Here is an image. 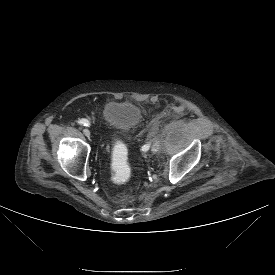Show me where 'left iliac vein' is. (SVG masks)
Masks as SVG:
<instances>
[{"mask_svg": "<svg viewBox=\"0 0 275 275\" xmlns=\"http://www.w3.org/2000/svg\"><path fill=\"white\" fill-rule=\"evenodd\" d=\"M159 149H160V141L156 139L152 144L151 151L152 153H156L158 152Z\"/></svg>", "mask_w": 275, "mask_h": 275, "instance_id": "1", "label": "left iliac vein"}]
</instances>
